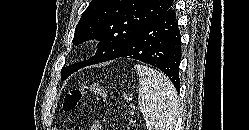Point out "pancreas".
Here are the masks:
<instances>
[{
    "label": "pancreas",
    "mask_w": 249,
    "mask_h": 130,
    "mask_svg": "<svg viewBox=\"0 0 249 130\" xmlns=\"http://www.w3.org/2000/svg\"><path fill=\"white\" fill-rule=\"evenodd\" d=\"M130 114H131V115H134V113H133L132 111L130 112ZM131 123H136V121H133V120L131 119Z\"/></svg>",
    "instance_id": "1"
}]
</instances>
